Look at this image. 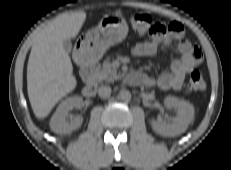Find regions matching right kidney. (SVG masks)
Returning a JSON list of instances; mask_svg holds the SVG:
<instances>
[{
  "label": "right kidney",
  "instance_id": "ca27d5eb",
  "mask_svg": "<svg viewBox=\"0 0 231 170\" xmlns=\"http://www.w3.org/2000/svg\"><path fill=\"white\" fill-rule=\"evenodd\" d=\"M83 99L81 97H70L63 101L57 108L50 120V128L53 132L58 134H68L78 129L82 124V118L76 117L71 122H67L66 118L73 108H81Z\"/></svg>",
  "mask_w": 231,
  "mask_h": 170
}]
</instances>
